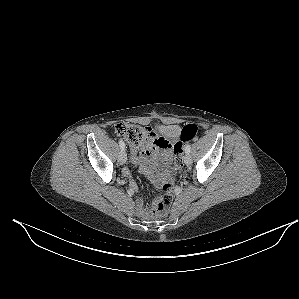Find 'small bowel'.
Segmentation results:
<instances>
[{
	"label": "small bowel",
	"instance_id": "small-bowel-1",
	"mask_svg": "<svg viewBox=\"0 0 299 299\" xmlns=\"http://www.w3.org/2000/svg\"><path fill=\"white\" fill-rule=\"evenodd\" d=\"M148 128V136L141 148L130 146V161L140 166V171L157 187L170 178V165L172 162L173 146L180 140L181 127L177 124L157 125L158 135L152 128ZM123 174L130 177L127 168ZM133 191L137 190L136 184L131 182ZM136 208L143 215H148L150 210L144 206L142 199L136 201Z\"/></svg>",
	"mask_w": 299,
	"mask_h": 299
}]
</instances>
